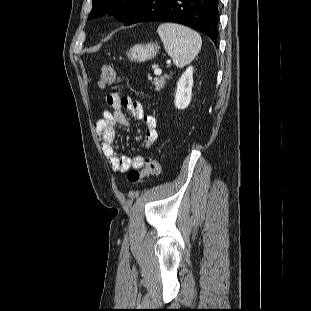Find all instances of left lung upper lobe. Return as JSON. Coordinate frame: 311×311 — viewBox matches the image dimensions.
I'll return each instance as SVG.
<instances>
[{
  "label": "left lung upper lobe",
  "mask_w": 311,
  "mask_h": 311,
  "mask_svg": "<svg viewBox=\"0 0 311 311\" xmlns=\"http://www.w3.org/2000/svg\"><path fill=\"white\" fill-rule=\"evenodd\" d=\"M141 0H93V7L88 18H96L107 11H113L120 21L140 2Z\"/></svg>",
  "instance_id": "5c2ea615"
}]
</instances>
